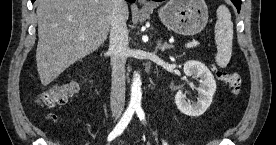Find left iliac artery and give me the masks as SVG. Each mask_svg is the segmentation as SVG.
<instances>
[{
    "mask_svg": "<svg viewBox=\"0 0 276 145\" xmlns=\"http://www.w3.org/2000/svg\"><path fill=\"white\" fill-rule=\"evenodd\" d=\"M135 111H136V114L139 117V119L144 123V121H145V114H144L143 109L140 106H138V107L135 108ZM163 144L167 145V143L165 141H163Z\"/></svg>",
    "mask_w": 276,
    "mask_h": 145,
    "instance_id": "44dca946",
    "label": "left iliac artery"
}]
</instances>
